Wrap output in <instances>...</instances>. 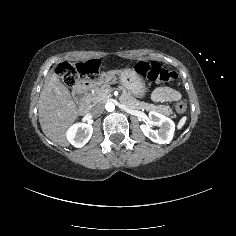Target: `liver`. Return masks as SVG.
Segmentation results:
<instances>
[{"label":"liver","instance_id":"1","mask_svg":"<svg viewBox=\"0 0 236 236\" xmlns=\"http://www.w3.org/2000/svg\"><path fill=\"white\" fill-rule=\"evenodd\" d=\"M124 69L126 67L107 70L104 75L114 76ZM37 108L44 135L62 147H69L67 132L79 120L81 113L78 103L72 99L68 88L54 73V68L45 77Z\"/></svg>","mask_w":236,"mask_h":236}]
</instances>
